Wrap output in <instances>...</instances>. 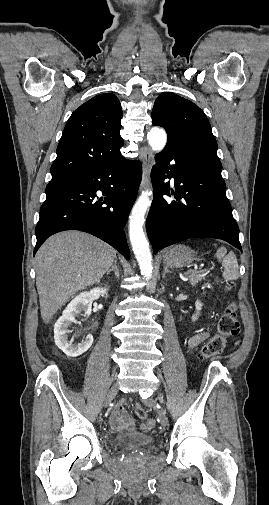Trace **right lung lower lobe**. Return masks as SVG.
<instances>
[{"instance_id":"obj_1","label":"right lung lower lobe","mask_w":269,"mask_h":505,"mask_svg":"<svg viewBox=\"0 0 269 505\" xmlns=\"http://www.w3.org/2000/svg\"><path fill=\"white\" fill-rule=\"evenodd\" d=\"M141 178V163L119 156L74 177L50 182L35 228L34 255L49 236L80 230L102 239L129 259L122 227L135 202ZM98 190L105 197L99 198Z\"/></svg>"}]
</instances>
